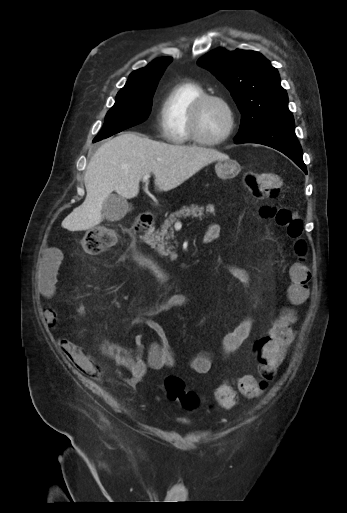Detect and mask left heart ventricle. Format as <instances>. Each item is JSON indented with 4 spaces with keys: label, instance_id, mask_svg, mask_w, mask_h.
Masks as SVG:
<instances>
[{
    "label": "left heart ventricle",
    "instance_id": "left-heart-ventricle-1",
    "mask_svg": "<svg viewBox=\"0 0 347 513\" xmlns=\"http://www.w3.org/2000/svg\"><path fill=\"white\" fill-rule=\"evenodd\" d=\"M228 124V113L223 105L215 101L204 105L199 121V130L204 138L221 137L226 132Z\"/></svg>",
    "mask_w": 347,
    "mask_h": 513
}]
</instances>
